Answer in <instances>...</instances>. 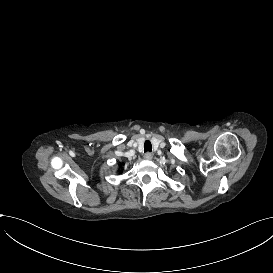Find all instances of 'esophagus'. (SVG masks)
<instances>
[{
    "label": "esophagus",
    "mask_w": 273,
    "mask_h": 273,
    "mask_svg": "<svg viewBox=\"0 0 273 273\" xmlns=\"http://www.w3.org/2000/svg\"><path fill=\"white\" fill-rule=\"evenodd\" d=\"M144 158H145L146 160H151V159L153 158V155H152L151 153H146V154L144 155Z\"/></svg>",
    "instance_id": "obj_1"
}]
</instances>
